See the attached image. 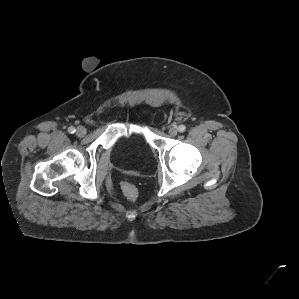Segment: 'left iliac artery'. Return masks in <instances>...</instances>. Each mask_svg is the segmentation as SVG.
<instances>
[{
  "label": "left iliac artery",
  "instance_id": "obj_1",
  "mask_svg": "<svg viewBox=\"0 0 299 299\" xmlns=\"http://www.w3.org/2000/svg\"><path fill=\"white\" fill-rule=\"evenodd\" d=\"M178 130H179V132H181V133L185 132V130H186L185 125H179Z\"/></svg>",
  "mask_w": 299,
  "mask_h": 299
}]
</instances>
